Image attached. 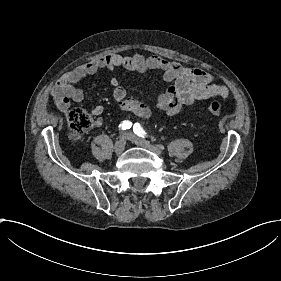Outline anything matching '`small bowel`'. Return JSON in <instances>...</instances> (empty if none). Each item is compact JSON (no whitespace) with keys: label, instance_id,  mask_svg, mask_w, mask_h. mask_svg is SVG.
<instances>
[{"label":"small bowel","instance_id":"obj_1","mask_svg":"<svg viewBox=\"0 0 281 281\" xmlns=\"http://www.w3.org/2000/svg\"><path fill=\"white\" fill-rule=\"evenodd\" d=\"M114 69H126L137 74L150 70L160 71L169 86L164 93L158 95L156 103L167 116L176 115L183 104L191 105L212 97L223 99L231 97L226 86L216 83L211 75L197 67L186 66L164 58H145L141 54H115L97 57L78 66L63 77L58 84L52 86L51 96L57 108L61 112H67L71 101L80 103L84 100L83 91L76 86L79 80L94 75L99 70L110 71ZM109 84L112 88V97L122 110L143 119L149 117L147 106L128 96L125 90L120 87L117 78L112 77ZM103 111V106L97 105L93 109V115L99 118ZM93 124L100 128L104 123L97 119Z\"/></svg>","mask_w":281,"mask_h":281}]
</instances>
